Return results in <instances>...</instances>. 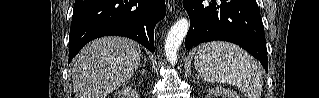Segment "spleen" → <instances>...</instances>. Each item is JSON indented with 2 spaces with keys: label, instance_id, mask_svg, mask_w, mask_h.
<instances>
[{
  "label": "spleen",
  "instance_id": "spleen-1",
  "mask_svg": "<svg viewBox=\"0 0 319 98\" xmlns=\"http://www.w3.org/2000/svg\"><path fill=\"white\" fill-rule=\"evenodd\" d=\"M194 65L207 82L232 84L247 98L261 97L260 65L234 44L215 41L202 45L194 58Z\"/></svg>",
  "mask_w": 319,
  "mask_h": 98
}]
</instances>
